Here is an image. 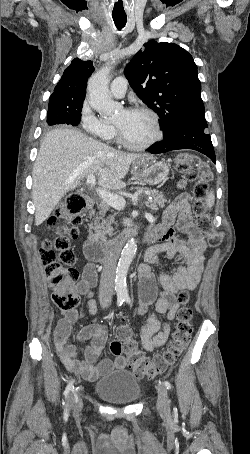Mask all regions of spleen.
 Here are the masks:
<instances>
[{
	"label": "spleen",
	"mask_w": 250,
	"mask_h": 454,
	"mask_svg": "<svg viewBox=\"0 0 250 454\" xmlns=\"http://www.w3.org/2000/svg\"><path fill=\"white\" fill-rule=\"evenodd\" d=\"M214 193L211 191L207 196H206V204L208 208H211L214 205Z\"/></svg>",
	"instance_id": "1"
}]
</instances>
